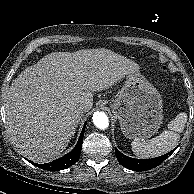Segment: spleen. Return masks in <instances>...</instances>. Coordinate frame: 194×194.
Instances as JSON below:
<instances>
[{"label": "spleen", "mask_w": 194, "mask_h": 194, "mask_svg": "<svg viewBox=\"0 0 194 194\" xmlns=\"http://www.w3.org/2000/svg\"><path fill=\"white\" fill-rule=\"evenodd\" d=\"M186 122L187 114L181 112L169 122V130L163 131L159 136L148 141L134 139L131 143L133 153L140 158H151L171 151L178 144L179 133L184 130Z\"/></svg>", "instance_id": "obj_1"}]
</instances>
